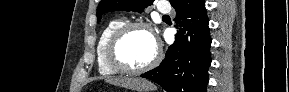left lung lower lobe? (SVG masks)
<instances>
[{"label":"left lung lower lobe","mask_w":289,"mask_h":92,"mask_svg":"<svg viewBox=\"0 0 289 92\" xmlns=\"http://www.w3.org/2000/svg\"><path fill=\"white\" fill-rule=\"evenodd\" d=\"M180 27L161 64L142 75L167 92H206L211 37L204 0H174Z\"/></svg>","instance_id":"0a47b994"}]
</instances>
